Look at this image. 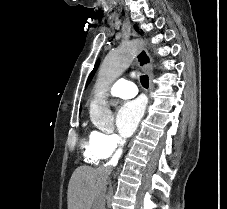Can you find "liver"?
Segmentation results:
<instances>
[{"label":"liver","mask_w":227,"mask_h":209,"mask_svg":"<svg viewBox=\"0 0 227 209\" xmlns=\"http://www.w3.org/2000/svg\"><path fill=\"white\" fill-rule=\"evenodd\" d=\"M98 169L78 167L68 185V209H90L94 185L99 179ZM90 201L89 205H86Z\"/></svg>","instance_id":"obj_1"}]
</instances>
